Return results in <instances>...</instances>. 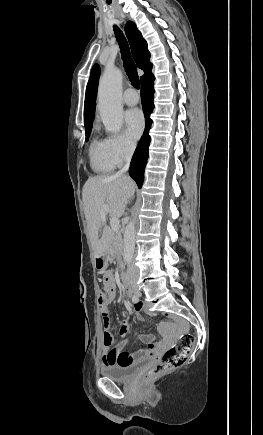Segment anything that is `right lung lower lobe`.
Wrapping results in <instances>:
<instances>
[{
  "instance_id": "obj_1",
  "label": "right lung lower lobe",
  "mask_w": 263,
  "mask_h": 435,
  "mask_svg": "<svg viewBox=\"0 0 263 435\" xmlns=\"http://www.w3.org/2000/svg\"><path fill=\"white\" fill-rule=\"evenodd\" d=\"M154 80L153 74L147 76L141 81V101L143 112L145 115L146 126L142 138L135 150L130 163V176L136 181L139 188H141L144 179V169L148 159V147L150 144L149 129L151 128L152 120L150 114L153 111L154 103Z\"/></svg>"
}]
</instances>
